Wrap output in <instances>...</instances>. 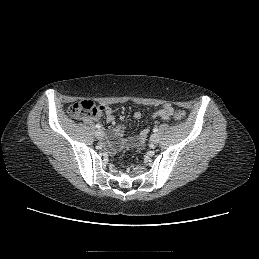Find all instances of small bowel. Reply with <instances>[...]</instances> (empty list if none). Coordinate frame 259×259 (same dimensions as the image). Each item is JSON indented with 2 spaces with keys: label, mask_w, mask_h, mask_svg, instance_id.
Wrapping results in <instances>:
<instances>
[{
  "label": "small bowel",
  "mask_w": 259,
  "mask_h": 259,
  "mask_svg": "<svg viewBox=\"0 0 259 259\" xmlns=\"http://www.w3.org/2000/svg\"><path fill=\"white\" fill-rule=\"evenodd\" d=\"M174 109L171 104L164 103L161 105L160 109L152 113L154 118H161L163 120H170L173 116ZM101 114H105L107 122L111 123L114 121V111L110 106H101L100 111L97 116L92 117V119H96ZM142 117L140 111H136L133 113V118L138 120ZM149 129L144 128L137 136L131 137L128 139H124V128L122 126L116 127L114 132L111 134L112 141L108 143V146L112 150H117L123 147L124 145L134 146V147H141L148 136Z\"/></svg>",
  "instance_id": "1"
}]
</instances>
